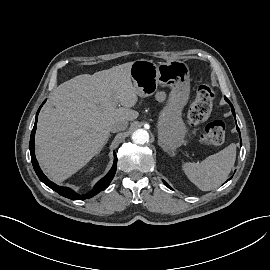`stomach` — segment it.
<instances>
[{
	"label": "stomach",
	"mask_w": 270,
	"mask_h": 270,
	"mask_svg": "<svg viewBox=\"0 0 270 270\" xmlns=\"http://www.w3.org/2000/svg\"><path fill=\"white\" fill-rule=\"evenodd\" d=\"M133 85L140 97L152 95L158 85L171 87L167 105L161 111L157 128L158 144L165 151L173 152L184 142L185 126L182 109L189 98L190 71L181 60H169L160 64L139 59L130 69Z\"/></svg>",
	"instance_id": "obj_1"
}]
</instances>
